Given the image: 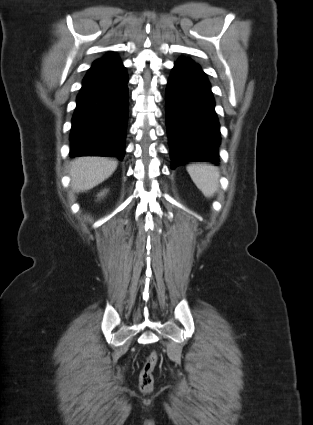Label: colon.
<instances>
[{
  "label": "colon",
  "mask_w": 313,
  "mask_h": 425,
  "mask_svg": "<svg viewBox=\"0 0 313 425\" xmlns=\"http://www.w3.org/2000/svg\"><path fill=\"white\" fill-rule=\"evenodd\" d=\"M158 363V353L152 351L146 358L139 375V387L144 393H149L154 387V370Z\"/></svg>",
  "instance_id": "obj_1"
}]
</instances>
